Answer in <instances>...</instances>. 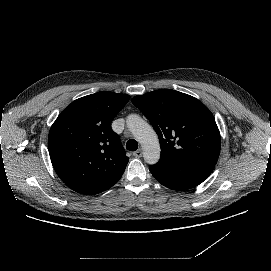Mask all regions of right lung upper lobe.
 I'll list each match as a JSON object with an SVG mask.
<instances>
[{
    "instance_id": "right-lung-upper-lobe-1",
    "label": "right lung upper lobe",
    "mask_w": 271,
    "mask_h": 271,
    "mask_svg": "<svg viewBox=\"0 0 271 271\" xmlns=\"http://www.w3.org/2000/svg\"><path fill=\"white\" fill-rule=\"evenodd\" d=\"M130 96L102 91L79 98L53 123L48 150L53 167L72 190L101 193L119 181L129 158L111 122Z\"/></svg>"
}]
</instances>
